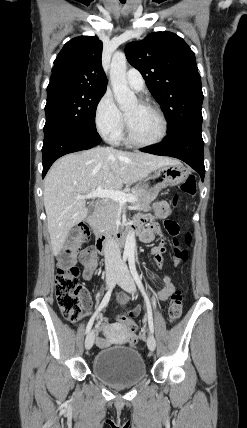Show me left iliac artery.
<instances>
[{
    "label": "left iliac artery",
    "mask_w": 247,
    "mask_h": 428,
    "mask_svg": "<svg viewBox=\"0 0 247 428\" xmlns=\"http://www.w3.org/2000/svg\"><path fill=\"white\" fill-rule=\"evenodd\" d=\"M128 261H129V268H130L131 274H132V276H133V278H134V280H135L138 288L140 289V291H141V293H142V295L144 297L145 303H146L149 329H150L151 333H154V325H153L151 303H150L149 297L147 296V294H146V292L144 290V286H143L142 281H141V279H140V277L138 275V272L136 270L134 256L133 255L129 256Z\"/></svg>",
    "instance_id": "left-iliac-artery-1"
}]
</instances>
